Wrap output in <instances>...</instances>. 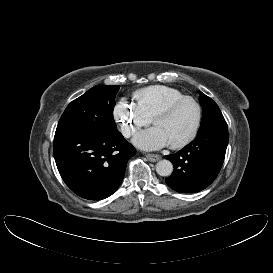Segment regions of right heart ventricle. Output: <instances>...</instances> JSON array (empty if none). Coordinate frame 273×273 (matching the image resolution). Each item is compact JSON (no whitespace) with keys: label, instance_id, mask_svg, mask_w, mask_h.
Returning a JSON list of instances; mask_svg holds the SVG:
<instances>
[{"label":"right heart ventricle","instance_id":"obj_1","mask_svg":"<svg viewBox=\"0 0 273 273\" xmlns=\"http://www.w3.org/2000/svg\"><path fill=\"white\" fill-rule=\"evenodd\" d=\"M183 96L181 91L164 85L148 86L133 94L136 105L150 120L168 103Z\"/></svg>","mask_w":273,"mask_h":273}]
</instances>
